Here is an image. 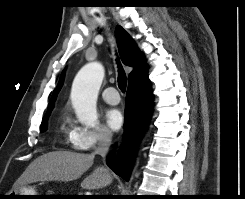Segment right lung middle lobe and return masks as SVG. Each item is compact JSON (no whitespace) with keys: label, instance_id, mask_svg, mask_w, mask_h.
I'll list each match as a JSON object with an SVG mask.
<instances>
[{"label":"right lung middle lobe","instance_id":"obj_1","mask_svg":"<svg viewBox=\"0 0 245 199\" xmlns=\"http://www.w3.org/2000/svg\"><path fill=\"white\" fill-rule=\"evenodd\" d=\"M50 114L43 117L42 119V123H41V131H45L46 130V126H47V119L49 118Z\"/></svg>","mask_w":245,"mask_h":199}]
</instances>
